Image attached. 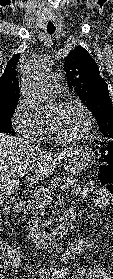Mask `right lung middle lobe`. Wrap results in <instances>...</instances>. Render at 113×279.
Masks as SVG:
<instances>
[{
  "instance_id": "1",
  "label": "right lung middle lobe",
  "mask_w": 113,
  "mask_h": 279,
  "mask_svg": "<svg viewBox=\"0 0 113 279\" xmlns=\"http://www.w3.org/2000/svg\"><path fill=\"white\" fill-rule=\"evenodd\" d=\"M16 106L0 109V133L15 135L12 129L11 118Z\"/></svg>"
}]
</instances>
